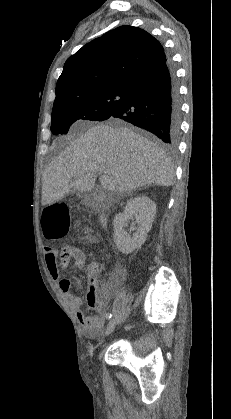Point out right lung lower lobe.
<instances>
[{"label": "right lung lower lobe", "mask_w": 231, "mask_h": 419, "mask_svg": "<svg viewBox=\"0 0 231 419\" xmlns=\"http://www.w3.org/2000/svg\"><path fill=\"white\" fill-rule=\"evenodd\" d=\"M180 113L174 72L170 62L165 61L136 80L108 118H120L145 128L172 147L179 136Z\"/></svg>", "instance_id": "right-lung-lower-lobe-1"}]
</instances>
